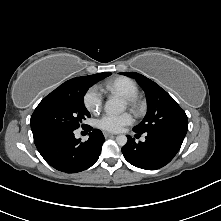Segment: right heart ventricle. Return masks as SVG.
Segmentation results:
<instances>
[{"label": "right heart ventricle", "mask_w": 221, "mask_h": 221, "mask_svg": "<svg viewBox=\"0 0 221 221\" xmlns=\"http://www.w3.org/2000/svg\"><path fill=\"white\" fill-rule=\"evenodd\" d=\"M105 89L122 97H130L138 94V86L134 80L125 76H119L109 80Z\"/></svg>", "instance_id": "right-heart-ventricle-1"}]
</instances>
